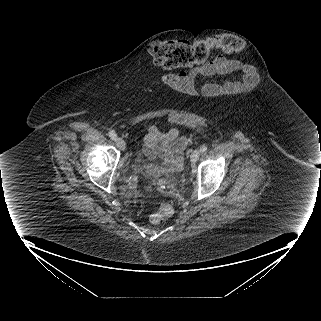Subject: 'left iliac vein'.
<instances>
[{"instance_id": "1", "label": "left iliac vein", "mask_w": 321, "mask_h": 321, "mask_svg": "<svg viewBox=\"0 0 321 321\" xmlns=\"http://www.w3.org/2000/svg\"><path fill=\"white\" fill-rule=\"evenodd\" d=\"M199 156H200V150H198V149L194 150L191 154V157H190L191 162L192 163L197 162V160L199 159Z\"/></svg>"}]
</instances>
